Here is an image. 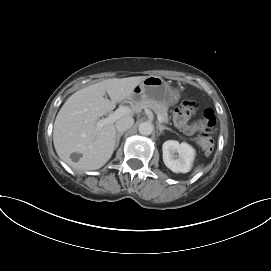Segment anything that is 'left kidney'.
Returning <instances> with one entry per match:
<instances>
[{
  "instance_id": "left-kidney-1",
  "label": "left kidney",
  "mask_w": 271,
  "mask_h": 271,
  "mask_svg": "<svg viewBox=\"0 0 271 271\" xmlns=\"http://www.w3.org/2000/svg\"><path fill=\"white\" fill-rule=\"evenodd\" d=\"M164 164L173 172L187 173L192 167L195 149L189 144L168 140L162 145Z\"/></svg>"
}]
</instances>
